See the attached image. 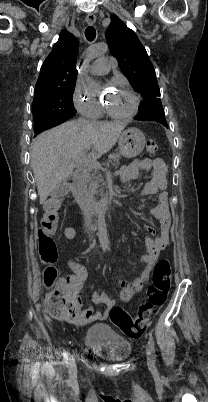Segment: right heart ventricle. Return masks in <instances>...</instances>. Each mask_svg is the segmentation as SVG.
<instances>
[{
    "mask_svg": "<svg viewBox=\"0 0 208 402\" xmlns=\"http://www.w3.org/2000/svg\"><path fill=\"white\" fill-rule=\"evenodd\" d=\"M101 116H102V115H101ZM109 117H110V118H114V117H112L111 115H109Z\"/></svg>",
    "mask_w": 208,
    "mask_h": 402,
    "instance_id": "right-heart-ventricle-1",
    "label": "right heart ventricle"
}]
</instances>
